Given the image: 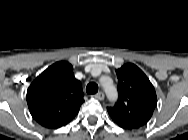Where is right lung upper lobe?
<instances>
[{
	"mask_svg": "<svg viewBox=\"0 0 188 140\" xmlns=\"http://www.w3.org/2000/svg\"><path fill=\"white\" fill-rule=\"evenodd\" d=\"M83 102L81 83L75 79L72 65L65 61L48 67L27 90L30 113L46 128L69 123Z\"/></svg>",
	"mask_w": 188,
	"mask_h": 140,
	"instance_id": "cb5924a9",
	"label": "right lung upper lobe"
}]
</instances>
